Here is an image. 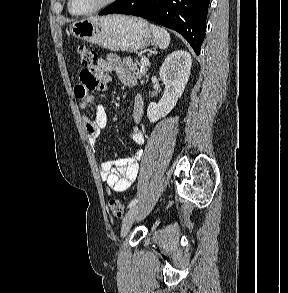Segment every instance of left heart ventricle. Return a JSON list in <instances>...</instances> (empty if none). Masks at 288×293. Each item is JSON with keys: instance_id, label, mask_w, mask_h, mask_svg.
Returning <instances> with one entry per match:
<instances>
[{"instance_id": "obj_1", "label": "left heart ventricle", "mask_w": 288, "mask_h": 293, "mask_svg": "<svg viewBox=\"0 0 288 293\" xmlns=\"http://www.w3.org/2000/svg\"><path fill=\"white\" fill-rule=\"evenodd\" d=\"M102 1L103 0H73L72 9L76 12H83L95 7Z\"/></svg>"}]
</instances>
